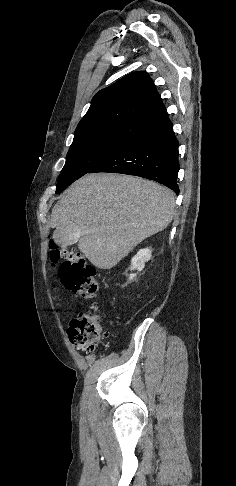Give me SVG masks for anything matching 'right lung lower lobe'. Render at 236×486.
<instances>
[{
	"mask_svg": "<svg viewBox=\"0 0 236 486\" xmlns=\"http://www.w3.org/2000/svg\"><path fill=\"white\" fill-rule=\"evenodd\" d=\"M178 146L167 111L162 110L143 119L129 141L88 173L135 175L157 181L178 194Z\"/></svg>",
	"mask_w": 236,
	"mask_h": 486,
	"instance_id": "obj_1",
	"label": "right lung lower lobe"
}]
</instances>
